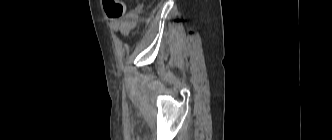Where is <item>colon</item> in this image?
I'll list each match as a JSON object with an SVG mask.
<instances>
[{
  "instance_id": "5ec220e1",
  "label": "colon",
  "mask_w": 332,
  "mask_h": 140,
  "mask_svg": "<svg viewBox=\"0 0 332 140\" xmlns=\"http://www.w3.org/2000/svg\"><path fill=\"white\" fill-rule=\"evenodd\" d=\"M107 16L112 20L120 19L125 14V3L122 0H102Z\"/></svg>"
}]
</instances>
